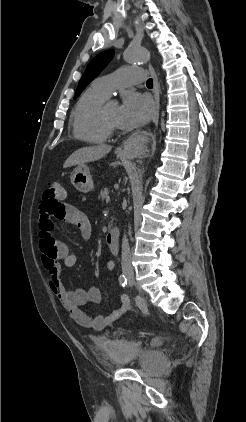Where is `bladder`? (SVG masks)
I'll list each match as a JSON object with an SVG mask.
<instances>
[{
  "mask_svg": "<svg viewBox=\"0 0 246 422\" xmlns=\"http://www.w3.org/2000/svg\"><path fill=\"white\" fill-rule=\"evenodd\" d=\"M97 349L103 357L120 365L137 363L143 352L137 340L127 338L101 339L97 343ZM150 359L156 367H162L167 362V357L161 349L151 350Z\"/></svg>",
  "mask_w": 246,
  "mask_h": 422,
  "instance_id": "1",
  "label": "bladder"
}]
</instances>
